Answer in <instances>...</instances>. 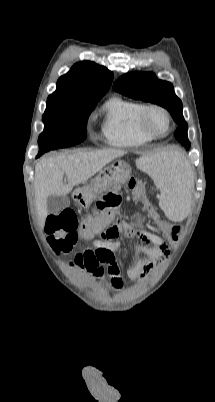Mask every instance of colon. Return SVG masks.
<instances>
[{"instance_id": "1", "label": "colon", "mask_w": 215, "mask_h": 402, "mask_svg": "<svg viewBox=\"0 0 215 402\" xmlns=\"http://www.w3.org/2000/svg\"><path fill=\"white\" fill-rule=\"evenodd\" d=\"M128 187L142 198L144 193V183L135 177H131ZM121 204V195L118 191H110L104 194L96 202L97 213L91 218H86L80 228L82 242H87L96 233L112 225L117 217V211ZM145 208L148 213L157 221L160 232L165 241L174 247L179 245L182 238L180 230L184 228L182 223L176 225L159 221L156 213L147 203ZM78 220L75 213L71 210H64L60 214H51L46 221V231L48 233V242L56 253L69 252L78 241ZM185 235V234H184ZM79 258V254L76 259Z\"/></svg>"}]
</instances>
